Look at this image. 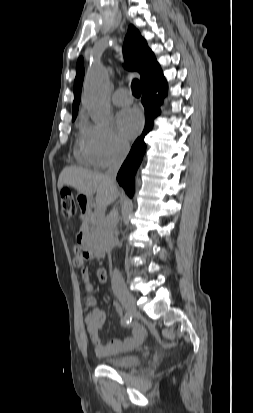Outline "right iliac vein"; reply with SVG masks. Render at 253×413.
<instances>
[{
	"mask_svg": "<svg viewBox=\"0 0 253 413\" xmlns=\"http://www.w3.org/2000/svg\"><path fill=\"white\" fill-rule=\"evenodd\" d=\"M118 299L129 313H134L136 311V300L131 293H121L118 295Z\"/></svg>",
	"mask_w": 253,
	"mask_h": 413,
	"instance_id": "right-iliac-vein-1",
	"label": "right iliac vein"
}]
</instances>
